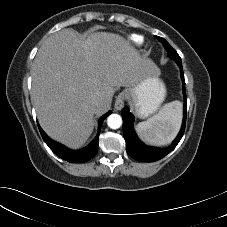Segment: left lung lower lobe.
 Here are the masks:
<instances>
[{
  "mask_svg": "<svg viewBox=\"0 0 227 227\" xmlns=\"http://www.w3.org/2000/svg\"><path fill=\"white\" fill-rule=\"evenodd\" d=\"M181 73V79L183 82V95H184V118L181 130L173 141L172 145L165 149H160L157 147L146 146L143 142H141L133 128L134 116L130 113L129 108L125 107L122 110V118H123V135L126 141L127 153L137 161L142 162H153L157 161L163 157H165L168 153H170L176 145L181 140L186 124V104H187V97L185 92V80L184 74L182 69V64H178Z\"/></svg>",
  "mask_w": 227,
  "mask_h": 227,
  "instance_id": "obj_1",
  "label": "left lung lower lobe"
}]
</instances>
